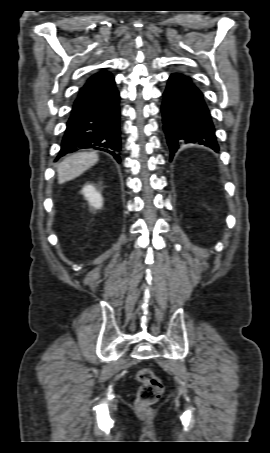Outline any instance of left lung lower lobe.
<instances>
[{"label": "left lung lower lobe", "mask_w": 270, "mask_h": 453, "mask_svg": "<svg viewBox=\"0 0 270 453\" xmlns=\"http://www.w3.org/2000/svg\"><path fill=\"white\" fill-rule=\"evenodd\" d=\"M162 114L170 160L180 146L189 143L219 151L210 110L202 92L190 77L181 73L169 77Z\"/></svg>", "instance_id": "left-lung-lower-lobe-1"}]
</instances>
